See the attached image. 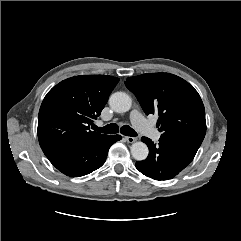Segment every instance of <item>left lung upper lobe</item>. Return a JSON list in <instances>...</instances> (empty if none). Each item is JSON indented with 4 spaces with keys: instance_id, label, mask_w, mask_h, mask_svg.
Returning a JSON list of instances; mask_svg holds the SVG:
<instances>
[{
    "instance_id": "left-lung-upper-lobe-1",
    "label": "left lung upper lobe",
    "mask_w": 241,
    "mask_h": 241,
    "mask_svg": "<svg viewBox=\"0 0 241 241\" xmlns=\"http://www.w3.org/2000/svg\"><path fill=\"white\" fill-rule=\"evenodd\" d=\"M126 87L135 94L145 114H158L161 137L203 141L205 109L198 92L184 79L169 73L129 77Z\"/></svg>"
}]
</instances>
